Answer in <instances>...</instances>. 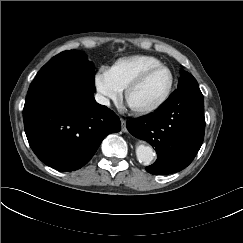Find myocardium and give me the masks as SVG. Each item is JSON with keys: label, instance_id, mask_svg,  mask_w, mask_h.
<instances>
[{"label": "myocardium", "instance_id": "obj_1", "mask_svg": "<svg viewBox=\"0 0 243 243\" xmlns=\"http://www.w3.org/2000/svg\"><path fill=\"white\" fill-rule=\"evenodd\" d=\"M157 69H165L168 71L169 73V84H168V87L164 93V95L158 100L156 101L155 103L149 105V106H146V107H140V108H135V107H132L130 104H129V96L130 94L137 88L141 85V83L144 81V79L153 71L157 70ZM174 82H175V79H174V74L172 72V70L164 65V64H158V65H154V66H151V67H148L146 68L145 70L141 71L129 84L128 86L126 87L125 89V93H124V98H125V101L126 103L129 105V107L136 113L138 114H148V113H151V112H154L156 110H158L160 107H162L167 101L168 99L170 98L171 94H172V91H173V87H174Z\"/></svg>", "mask_w": 243, "mask_h": 243}]
</instances>
